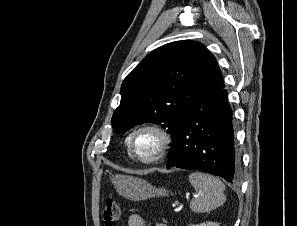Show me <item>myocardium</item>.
<instances>
[{"label":"myocardium","instance_id":"f54148a6","mask_svg":"<svg viewBox=\"0 0 297 226\" xmlns=\"http://www.w3.org/2000/svg\"><path fill=\"white\" fill-rule=\"evenodd\" d=\"M143 132H152L158 137L159 140L157 147L149 156L140 155L135 147V141L137 137ZM171 143L172 136L169 131L160 124L153 122L143 123L135 127L127 140V146L133 158L136 161L146 165L154 164L162 160L166 155Z\"/></svg>","mask_w":297,"mask_h":226}]
</instances>
